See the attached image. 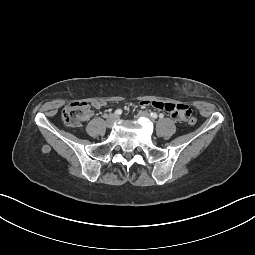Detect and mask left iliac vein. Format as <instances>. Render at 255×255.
<instances>
[{
	"instance_id": "obj_1",
	"label": "left iliac vein",
	"mask_w": 255,
	"mask_h": 255,
	"mask_svg": "<svg viewBox=\"0 0 255 255\" xmlns=\"http://www.w3.org/2000/svg\"><path fill=\"white\" fill-rule=\"evenodd\" d=\"M137 117H145V118H148L150 119V115L149 113L145 112V111H141L137 114Z\"/></svg>"
}]
</instances>
